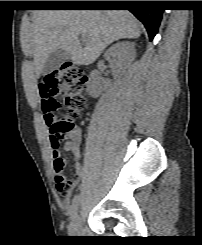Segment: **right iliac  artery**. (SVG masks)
<instances>
[{
  "label": "right iliac artery",
  "mask_w": 202,
  "mask_h": 245,
  "mask_svg": "<svg viewBox=\"0 0 202 245\" xmlns=\"http://www.w3.org/2000/svg\"><path fill=\"white\" fill-rule=\"evenodd\" d=\"M81 197L79 194H76L72 200L71 203V209H72V216L75 214V212L78 209L79 203H80Z\"/></svg>",
  "instance_id": "obj_1"
}]
</instances>
